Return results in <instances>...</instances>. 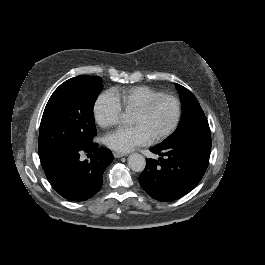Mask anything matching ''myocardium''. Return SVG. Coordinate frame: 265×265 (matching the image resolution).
Listing matches in <instances>:
<instances>
[{"instance_id": "myocardium-1", "label": "myocardium", "mask_w": 265, "mask_h": 265, "mask_svg": "<svg viewBox=\"0 0 265 265\" xmlns=\"http://www.w3.org/2000/svg\"><path fill=\"white\" fill-rule=\"evenodd\" d=\"M161 99L169 100L174 104L175 114H174V118L172 122L170 123V125L166 129H164L162 132H160L158 135L154 136L152 140L150 141L151 144L158 143L161 140L168 137L170 134H172V132L176 129L179 123L180 117H181L182 105H181L180 100L177 97L171 94H167V93H159V94H156L148 98L135 112L140 113V114L147 113L152 108V106L158 100H161Z\"/></svg>"}]
</instances>
